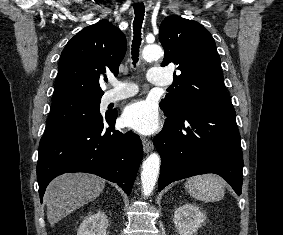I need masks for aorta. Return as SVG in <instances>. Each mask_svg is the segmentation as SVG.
Here are the masks:
<instances>
[{
	"instance_id": "obj_1",
	"label": "aorta",
	"mask_w": 283,
	"mask_h": 235,
	"mask_svg": "<svg viewBox=\"0 0 283 235\" xmlns=\"http://www.w3.org/2000/svg\"><path fill=\"white\" fill-rule=\"evenodd\" d=\"M163 51L159 45H147L142 51V58L147 61L159 59ZM160 170V156L157 153L150 154L143 162L141 171L142 192L150 196L154 190Z\"/></svg>"
}]
</instances>
